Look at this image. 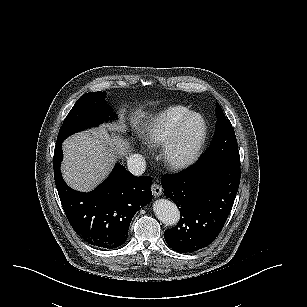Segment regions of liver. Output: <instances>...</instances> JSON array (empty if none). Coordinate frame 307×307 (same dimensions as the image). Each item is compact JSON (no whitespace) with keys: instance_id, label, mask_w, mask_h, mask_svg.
<instances>
[{"instance_id":"obj_1","label":"liver","mask_w":307,"mask_h":307,"mask_svg":"<svg viewBox=\"0 0 307 307\" xmlns=\"http://www.w3.org/2000/svg\"><path fill=\"white\" fill-rule=\"evenodd\" d=\"M145 112L138 109L130 115V126L138 129ZM101 126L72 135L63 142L61 171L65 182L81 192H90L110 173L117 159L131 154V143L120 131Z\"/></svg>"}]
</instances>
